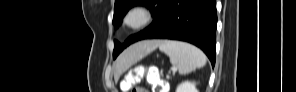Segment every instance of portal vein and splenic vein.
Wrapping results in <instances>:
<instances>
[{
	"mask_svg": "<svg viewBox=\"0 0 296 92\" xmlns=\"http://www.w3.org/2000/svg\"><path fill=\"white\" fill-rule=\"evenodd\" d=\"M173 73L177 71V69L174 67L172 68Z\"/></svg>",
	"mask_w": 296,
	"mask_h": 92,
	"instance_id": "1",
	"label": "portal vein and splenic vein"
}]
</instances>
